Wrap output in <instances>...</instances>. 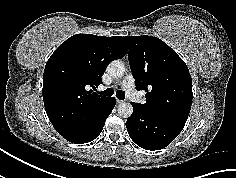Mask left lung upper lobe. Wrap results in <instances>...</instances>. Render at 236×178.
<instances>
[{"mask_svg":"<svg viewBox=\"0 0 236 178\" xmlns=\"http://www.w3.org/2000/svg\"><path fill=\"white\" fill-rule=\"evenodd\" d=\"M130 68L138 90L146 92L148 112L186 123L192 105V80L185 62L162 40L126 36Z\"/></svg>","mask_w":236,"mask_h":178,"instance_id":"obj_1","label":"left lung upper lobe"}]
</instances>
